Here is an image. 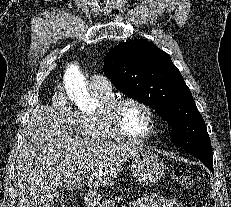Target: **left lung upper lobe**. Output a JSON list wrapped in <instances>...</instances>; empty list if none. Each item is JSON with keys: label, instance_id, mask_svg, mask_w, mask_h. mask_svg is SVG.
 <instances>
[{"label": "left lung upper lobe", "instance_id": "1", "mask_svg": "<svg viewBox=\"0 0 231 207\" xmlns=\"http://www.w3.org/2000/svg\"><path fill=\"white\" fill-rule=\"evenodd\" d=\"M104 73L122 93L154 108L170 124L174 145L213 158L205 122L166 52L144 39L121 43L104 59Z\"/></svg>", "mask_w": 231, "mask_h": 207}]
</instances>
